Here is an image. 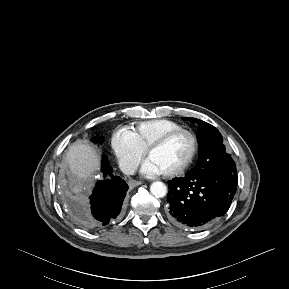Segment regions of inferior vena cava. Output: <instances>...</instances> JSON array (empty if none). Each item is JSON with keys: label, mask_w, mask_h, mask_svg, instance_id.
<instances>
[{"label": "inferior vena cava", "mask_w": 289, "mask_h": 289, "mask_svg": "<svg viewBox=\"0 0 289 289\" xmlns=\"http://www.w3.org/2000/svg\"><path fill=\"white\" fill-rule=\"evenodd\" d=\"M120 168L124 174L133 175V174H135V172L137 170V165L133 162H126V163H123L120 166Z\"/></svg>", "instance_id": "inferior-vena-cava-1"}]
</instances>
